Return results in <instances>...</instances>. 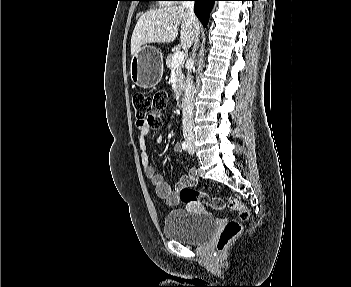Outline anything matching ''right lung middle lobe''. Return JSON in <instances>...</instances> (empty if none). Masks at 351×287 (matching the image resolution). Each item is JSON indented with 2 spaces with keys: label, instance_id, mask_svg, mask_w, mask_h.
Instances as JSON below:
<instances>
[{
  "label": "right lung middle lobe",
  "instance_id": "1",
  "mask_svg": "<svg viewBox=\"0 0 351 287\" xmlns=\"http://www.w3.org/2000/svg\"><path fill=\"white\" fill-rule=\"evenodd\" d=\"M139 1H156V0H139Z\"/></svg>",
  "mask_w": 351,
  "mask_h": 287
}]
</instances>
